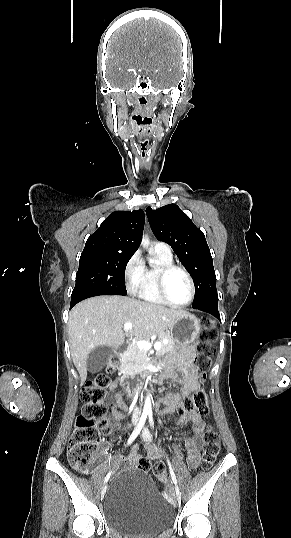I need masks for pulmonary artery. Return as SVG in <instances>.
<instances>
[{"label": "pulmonary artery", "mask_w": 291, "mask_h": 538, "mask_svg": "<svg viewBox=\"0 0 291 538\" xmlns=\"http://www.w3.org/2000/svg\"><path fill=\"white\" fill-rule=\"evenodd\" d=\"M154 249L167 255H172L170 246L164 242H156L154 244Z\"/></svg>", "instance_id": "e3ab8cb5"}]
</instances>
